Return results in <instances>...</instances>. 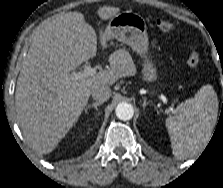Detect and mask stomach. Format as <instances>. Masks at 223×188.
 I'll return each mask as SVG.
<instances>
[{
  "label": "stomach",
  "instance_id": "0dacf381",
  "mask_svg": "<svg viewBox=\"0 0 223 188\" xmlns=\"http://www.w3.org/2000/svg\"><path fill=\"white\" fill-rule=\"evenodd\" d=\"M145 20L138 14L129 11L114 15L106 28L109 39H116L129 45L138 54L147 52L148 38ZM143 79L147 82L157 80L156 68L149 62H144Z\"/></svg>",
  "mask_w": 223,
  "mask_h": 188
}]
</instances>
